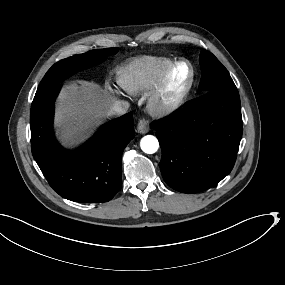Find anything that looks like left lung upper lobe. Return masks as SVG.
I'll use <instances>...</instances> for the list:
<instances>
[{"instance_id": "5c2ea615", "label": "left lung upper lobe", "mask_w": 285, "mask_h": 285, "mask_svg": "<svg viewBox=\"0 0 285 285\" xmlns=\"http://www.w3.org/2000/svg\"><path fill=\"white\" fill-rule=\"evenodd\" d=\"M200 65L202 77L199 90L208 92L212 90L236 88L227 69L209 51L204 49L201 51Z\"/></svg>"}]
</instances>
